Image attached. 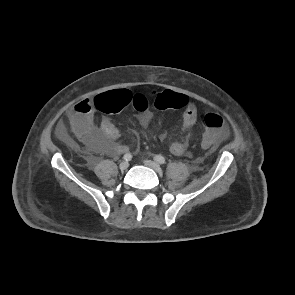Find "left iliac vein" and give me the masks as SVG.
Returning a JSON list of instances; mask_svg holds the SVG:
<instances>
[{
	"mask_svg": "<svg viewBox=\"0 0 295 295\" xmlns=\"http://www.w3.org/2000/svg\"><path fill=\"white\" fill-rule=\"evenodd\" d=\"M144 164L147 167H150L151 169H153L155 172L162 173V168L158 163L151 160H144Z\"/></svg>",
	"mask_w": 295,
	"mask_h": 295,
	"instance_id": "4c4485c4",
	"label": "left iliac vein"
}]
</instances>
